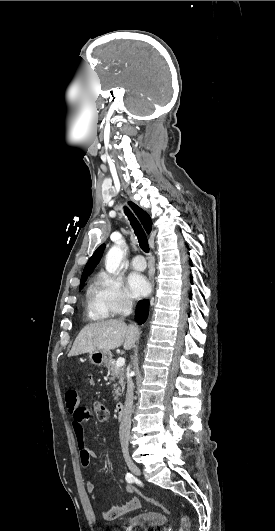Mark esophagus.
<instances>
[{
  "label": "esophagus",
  "mask_w": 275,
  "mask_h": 531,
  "mask_svg": "<svg viewBox=\"0 0 275 531\" xmlns=\"http://www.w3.org/2000/svg\"><path fill=\"white\" fill-rule=\"evenodd\" d=\"M151 286H152V291H153V288H154V282L153 281L151 282Z\"/></svg>",
  "instance_id": "obj_1"
}]
</instances>
